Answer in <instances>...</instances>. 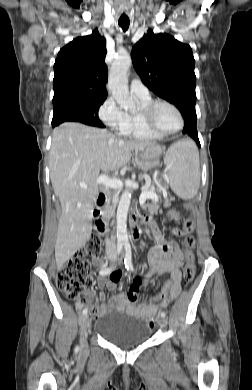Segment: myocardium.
Instances as JSON below:
<instances>
[{"label":"myocardium","instance_id":"myocardium-1","mask_svg":"<svg viewBox=\"0 0 252 390\" xmlns=\"http://www.w3.org/2000/svg\"><path fill=\"white\" fill-rule=\"evenodd\" d=\"M160 105L169 106L170 108H172L175 111V113L177 114L178 119H179V125L176 129L171 130V131H165V130H162L159 127H157V125L155 123L154 115H155L157 108ZM140 115H141V119H142V122H143L145 128L155 135H160V136L173 135V134H176L177 132H179L184 126V117H183L181 111L179 110V108L175 104H173L167 100H154V101H152L150 104H148L147 106H145L142 109Z\"/></svg>","mask_w":252,"mask_h":390}]
</instances>
